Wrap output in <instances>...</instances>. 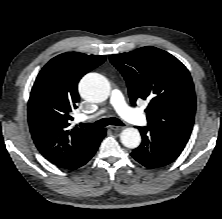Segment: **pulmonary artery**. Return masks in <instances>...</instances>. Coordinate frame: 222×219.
I'll return each mask as SVG.
<instances>
[{
    "label": "pulmonary artery",
    "instance_id": "obj_1",
    "mask_svg": "<svg viewBox=\"0 0 222 219\" xmlns=\"http://www.w3.org/2000/svg\"><path fill=\"white\" fill-rule=\"evenodd\" d=\"M111 101L117 113L126 121L139 126H143L147 123L146 116L140 111L130 108L126 104L119 90H114L112 92ZM102 112L103 111L98 112L95 116L100 115ZM87 119H88L87 116L81 117V120H87Z\"/></svg>",
    "mask_w": 222,
    "mask_h": 219
}]
</instances>
